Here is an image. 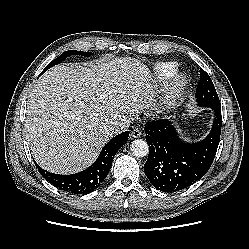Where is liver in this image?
I'll use <instances>...</instances> for the list:
<instances>
[{"instance_id": "obj_1", "label": "liver", "mask_w": 249, "mask_h": 249, "mask_svg": "<svg viewBox=\"0 0 249 249\" xmlns=\"http://www.w3.org/2000/svg\"><path fill=\"white\" fill-rule=\"evenodd\" d=\"M152 81L149 69L131 57L45 72L27 101L26 137L35 161L57 174L87 168L113 136V123L149 108Z\"/></svg>"}]
</instances>
